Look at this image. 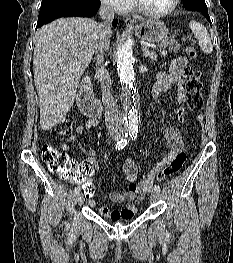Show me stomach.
Masks as SVG:
<instances>
[{"instance_id":"1","label":"stomach","mask_w":233,"mask_h":263,"mask_svg":"<svg viewBox=\"0 0 233 263\" xmlns=\"http://www.w3.org/2000/svg\"><path fill=\"white\" fill-rule=\"evenodd\" d=\"M135 33L143 40L158 43L167 39L168 28L162 21L149 20L137 25Z\"/></svg>"}]
</instances>
